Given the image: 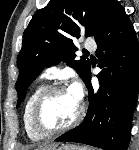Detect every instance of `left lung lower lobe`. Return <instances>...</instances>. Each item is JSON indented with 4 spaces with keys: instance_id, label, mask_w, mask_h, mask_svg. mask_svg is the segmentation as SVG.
<instances>
[{
    "instance_id": "obj_1",
    "label": "left lung lower lobe",
    "mask_w": 139,
    "mask_h": 150,
    "mask_svg": "<svg viewBox=\"0 0 139 150\" xmlns=\"http://www.w3.org/2000/svg\"><path fill=\"white\" fill-rule=\"evenodd\" d=\"M99 90L85 84L89 108L85 120L55 141L84 143L104 150H127L133 112L139 92V44L133 25L117 1L107 24L95 38Z\"/></svg>"
}]
</instances>
